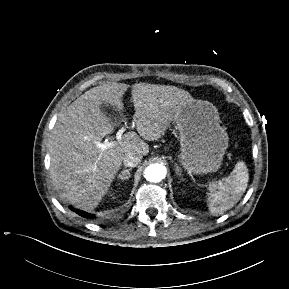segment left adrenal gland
<instances>
[{"instance_id": "1", "label": "left adrenal gland", "mask_w": 289, "mask_h": 289, "mask_svg": "<svg viewBox=\"0 0 289 289\" xmlns=\"http://www.w3.org/2000/svg\"><path fill=\"white\" fill-rule=\"evenodd\" d=\"M175 171H176V174H177V175L181 176V171H180V168L177 166V164H176V169H175Z\"/></svg>"}]
</instances>
